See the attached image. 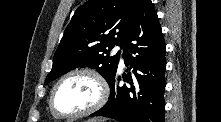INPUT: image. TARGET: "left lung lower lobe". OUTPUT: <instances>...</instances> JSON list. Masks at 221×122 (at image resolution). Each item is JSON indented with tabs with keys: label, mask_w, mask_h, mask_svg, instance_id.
Returning <instances> with one entry per match:
<instances>
[{
	"label": "left lung lower lobe",
	"mask_w": 221,
	"mask_h": 122,
	"mask_svg": "<svg viewBox=\"0 0 221 122\" xmlns=\"http://www.w3.org/2000/svg\"><path fill=\"white\" fill-rule=\"evenodd\" d=\"M166 45L151 0H140L133 24L124 42L125 65L133 68L123 75L130 87L119 86L113 77L109 101L90 116H104L119 122H164Z\"/></svg>",
	"instance_id": "0a47b994"
}]
</instances>
